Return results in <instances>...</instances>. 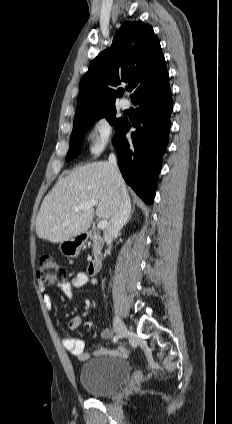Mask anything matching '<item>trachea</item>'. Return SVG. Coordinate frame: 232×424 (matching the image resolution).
Returning <instances> with one entry per match:
<instances>
[{"label":"trachea","mask_w":232,"mask_h":424,"mask_svg":"<svg viewBox=\"0 0 232 424\" xmlns=\"http://www.w3.org/2000/svg\"><path fill=\"white\" fill-rule=\"evenodd\" d=\"M128 90L131 91L132 89L131 88H128Z\"/></svg>","instance_id":"3493384b"}]
</instances>
